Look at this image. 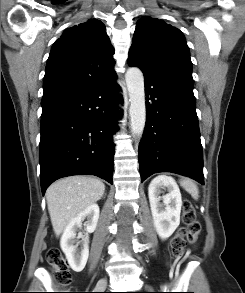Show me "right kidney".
I'll return each mask as SVG.
<instances>
[{"label": "right kidney", "mask_w": 245, "mask_h": 293, "mask_svg": "<svg viewBox=\"0 0 245 293\" xmlns=\"http://www.w3.org/2000/svg\"><path fill=\"white\" fill-rule=\"evenodd\" d=\"M99 206L92 204L75 216L66 226L60 240V246L70 267L75 272H81L88 260L89 246L88 234L95 231L99 219ZM87 218L85 230L86 236L83 237V248L77 249L75 245L76 231L82 226V221Z\"/></svg>", "instance_id": "ca27d5eb"}]
</instances>
